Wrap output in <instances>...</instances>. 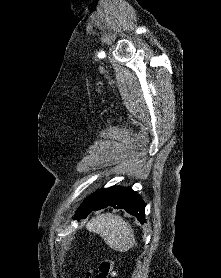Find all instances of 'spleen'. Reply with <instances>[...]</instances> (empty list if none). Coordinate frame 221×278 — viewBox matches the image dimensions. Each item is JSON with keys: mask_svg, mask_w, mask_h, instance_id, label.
I'll return each instance as SVG.
<instances>
[{"mask_svg": "<svg viewBox=\"0 0 221 278\" xmlns=\"http://www.w3.org/2000/svg\"><path fill=\"white\" fill-rule=\"evenodd\" d=\"M86 228L100 235L112 249L126 252L135 245V236L131 225L122 217L105 213L91 219Z\"/></svg>", "mask_w": 221, "mask_h": 278, "instance_id": "obj_1", "label": "spleen"}]
</instances>
